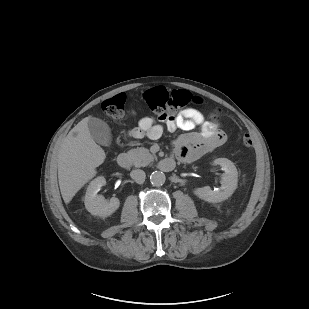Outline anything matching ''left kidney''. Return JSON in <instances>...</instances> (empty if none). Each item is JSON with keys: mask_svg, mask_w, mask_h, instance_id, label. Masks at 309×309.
Returning <instances> with one entry per match:
<instances>
[{"mask_svg": "<svg viewBox=\"0 0 309 309\" xmlns=\"http://www.w3.org/2000/svg\"><path fill=\"white\" fill-rule=\"evenodd\" d=\"M213 163L220 165L224 170L220 189L215 191L209 186H205L195 189L194 194L209 203H218L228 199L236 190L238 185V172L233 162L226 158H217Z\"/></svg>", "mask_w": 309, "mask_h": 309, "instance_id": "1", "label": "left kidney"}]
</instances>
